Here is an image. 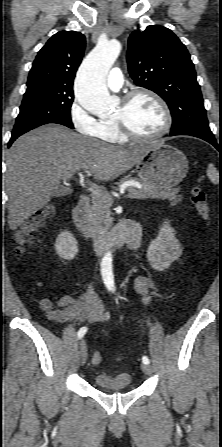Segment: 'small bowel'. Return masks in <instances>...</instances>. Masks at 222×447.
Listing matches in <instances>:
<instances>
[{
  "instance_id": "1",
  "label": "small bowel",
  "mask_w": 222,
  "mask_h": 447,
  "mask_svg": "<svg viewBox=\"0 0 222 447\" xmlns=\"http://www.w3.org/2000/svg\"><path fill=\"white\" fill-rule=\"evenodd\" d=\"M156 287L157 283L148 276H139L135 280V290L145 303L149 301L150 290ZM57 304L59 308L55 309L51 300H40V306L47 317L58 323L106 322L111 317L110 313L104 310L93 285H89L78 298L71 295L59 297Z\"/></svg>"
}]
</instances>
